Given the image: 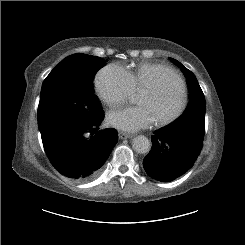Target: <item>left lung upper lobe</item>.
I'll list each match as a JSON object with an SVG mask.
<instances>
[{"instance_id":"obj_1","label":"left lung upper lobe","mask_w":245,"mask_h":245,"mask_svg":"<svg viewBox=\"0 0 245 245\" xmlns=\"http://www.w3.org/2000/svg\"><path fill=\"white\" fill-rule=\"evenodd\" d=\"M185 74L189 84V102L183 114L164 128L172 134H183L203 142L205 133V98L194 74L177 60L170 58Z\"/></svg>"}]
</instances>
